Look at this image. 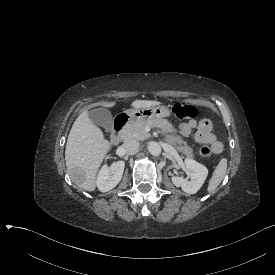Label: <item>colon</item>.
<instances>
[{
	"mask_svg": "<svg viewBox=\"0 0 275 275\" xmlns=\"http://www.w3.org/2000/svg\"><path fill=\"white\" fill-rule=\"evenodd\" d=\"M173 113L179 119H193L197 116V108L185 102H177L173 106ZM203 112L209 111L208 105L202 106ZM198 153L203 158H209L212 154L211 148L207 145H202L198 148Z\"/></svg>",
	"mask_w": 275,
	"mask_h": 275,
	"instance_id": "obj_1",
	"label": "colon"
}]
</instances>
